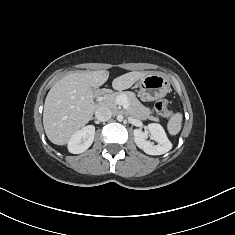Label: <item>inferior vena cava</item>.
Listing matches in <instances>:
<instances>
[{
	"instance_id": "1",
	"label": "inferior vena cava",
	"mask_w": 235,
	"mask_h": 235,
	"mask_svg": "<svg viewBox=\"0 0 235 235\" xmlns=\"http://www.w3.org/2000/svg\"><path fill=\"white\" fill-rule=\"evenodd\" d=\"M112 112L109 108L101 106L95 112V117L99 121H107L111 118Z\"/></svg>"
}]
</instances>
